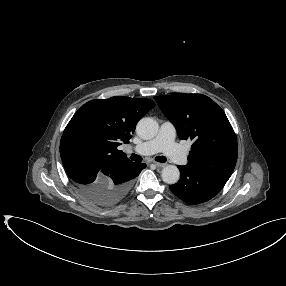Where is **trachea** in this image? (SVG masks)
I'll return each instance as SVG.
<instances>
[{
	"mask_svg": "<svg viewBox=\"0 0 286 286\" xmlns=\"http://www.w3.org/2000/svg\"><path fill=\"white\" fill-rule=\"evenodd\" d=\"M130 159L135 161V162H141L142 161V157H140L139 155H136V154H132L130 156ZM155 160L158 161V162L164 163V162H166L167 159L164 156H157L155 158Z\"/></svg>",
	"mask_w": 286,
	"mask_h": 286,
	"instance_id": "1",
	"label": "trachea"
}]
</instances>
